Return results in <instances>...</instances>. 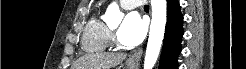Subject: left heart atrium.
Returning a JSON list of instances; mask_svg holds the SVG:
<instances>
[{"instance_id":"obj_1","label":"left heart atrium","mask_w":246,"mask_h":69,"mask_svg":"<svg viewBox=\"0 0 246 69\" xmlns=\"http://www.w3.org/2000/svg\"><path fill=\"white\" fill-rule=\"evenodd\" d=\"M146 31L145 21L138 12L128 13L118 30V38L121 43L127 46H135L144 38Z\"/></svg>"}]
</instances>
